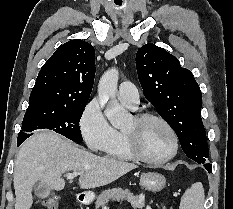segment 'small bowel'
Masks as SVG:
<instances>
[{"label": "small bowel", "mask_w": 233, "mask_h": 209, "mask_svg": "<svg viewBox=\"0 0 233 209\" xmlns=\"http://www.w3.org/2000/svg\"><path fill=\"white\" fill-rule=\"evenodd\" d=\"M143 209H153V208L150 207V206H146V207H144Z\"/></svg>", "instance_id": "1"}]
</instances>
